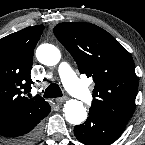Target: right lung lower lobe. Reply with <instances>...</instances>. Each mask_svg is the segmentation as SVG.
Instances as JSON below:
<instances>
[{"mask_svg":"<svg viewBox=\"0 0 145 145\" xmlns=\"http://www.w3.org/2000/svg\"><path fill=\"white\" fill-rule=\"evenodd\" d=\"M50 106L45 105L37 112L28 115L15 124L0 125V139L14 145H31L40 135V121L50 112Z\"/></svg>","mask_w":145,"mask_h":145,"instance_id":"1","label":"right lung lower lobe"}]
</instances>
